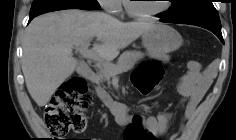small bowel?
Segmentation results:
<instances>
[{
	"mask_svg": "<svg viewBox=\"0 0 236 140\" xmlns=\"http://www.w3.org/2000/svg\"><path fill=\"white\" fill-rule=\"evenodd\" d=\"M186 66L187 71L180 78L177 85L178 91L183 97L182 103L185 106L181 129L178 133L172 135L170 140H179L178 136L182 131L183 122L194 116L199 103L211 86L215 76L211 67L202 69L200 63L196 61H187ZM171 117L170 112H162L156 117L145 118L146 128L153 135V138L166 133Z\"/></svg>",
	"mask_w": 236,
	"mask_h": 140,
	"instance_id": "obj_1",
	"label": "small bowel"
}]
</instances>
